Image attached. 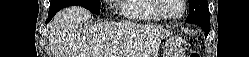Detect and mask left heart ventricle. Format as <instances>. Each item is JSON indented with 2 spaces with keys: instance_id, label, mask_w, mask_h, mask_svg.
<instances>
[{
  "instance_id": "1",
  "label": "left heart ventricle",
  "mask_w": 249,
  "mask_h": 57,
  "mask_svg": "<svg viewBox=\"0 0 249 57\" xmlns=\"http://www.w3.org/2000/svg\"><path fill=\"white\" fill-rule=\"evenodd\" d=\"M166 1H167V7L165 9V12L168 15L174 16L181 11V4L179 0H166Z\"/></svg>"
}]
</instances>
